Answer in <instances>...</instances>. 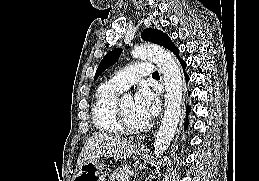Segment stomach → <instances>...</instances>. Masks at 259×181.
<instances>
[{"label": "stomach", "mask_w": 259, "mask_h": 181, "mask_svg": "<svg viewBox=\"0 0 259 181\" xmlns=\"http://www.w3.org/2000/svg\"><path fill=\"white\" fill-rule=\"evenodd\" d=\"M141 159L147 157V152H138ZM107 171L98 159H90L80 166L72 181H106Z\"/></svg>", "instance_id": "1"}]
</instances>
